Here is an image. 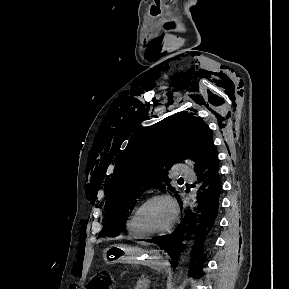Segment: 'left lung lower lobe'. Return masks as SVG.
Here are the masks:
<instances>
[{
    "mask_svg": "<svg viewBox=\"0 0 289 289\" xmlns=\"http://www.w3.org/2000/svg\"><path fill=\"white\" fill-rule=\"evenodd\" d=\"M195 172L197 174L199 191L196 196L193 211L188 210L185 217L190 219V228L187 236L195 234L189 272L198 273L199 277H201L204 255L199 260H197V258L201 254L203 244L215 225L221 194L219 159L216 148L211 151L205 162L196 169ZM177 200L182 207L180 197H178ZM182 232L183 225L179 227V230L176 229L173 233L157 237L152 239L150 242L164 245L168 254L173 260H176L177 264V254H179L183 249L181 245ZM196 262H198L199 266H195Z\"/></svg>",
    "mask_w": 289,
    "mask_h": 289,
    "instance_id": "0a47b994",
    "label": "left lung lower lobe"
}]
</instances>
